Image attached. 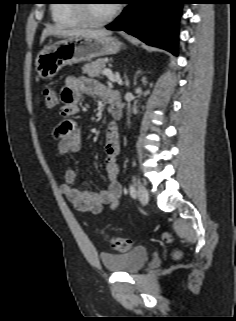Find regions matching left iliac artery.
I'll use <instances>...</instances> for the list:
<instances>
[{"mask_svg":"<svg viewBox=\"0 0 236 321\" xmlns=\"http://www.w3.org/2000/svg\"><path fill=\"white\" fill-rule=\"evenodd\" d=\"M129 191H130L131 197L135 198L136 190H135V187L132 184L129 186Z\"/></svg>","mask_w":236,"mask_h":321,"instance_id":"left-iliac-artery-1","label":"left iliac artery"}]
</instances>
